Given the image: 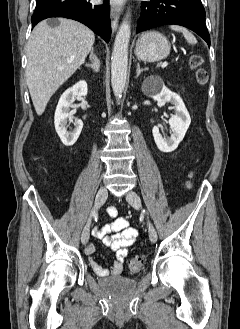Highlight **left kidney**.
Listing matches in <instances>:
<instances>
[{"instance_id": "5707ae66", "label": "left kidney", "mask_w": 240, "mask_h": 329, "mask_svg": "<svg viewBox=\"0 0 240 329\" xmlns=\"http://www.w3.org/2000/svg\"><path fill=\"white\" fill-rule=\"evenodd\" d=\"M151 84L153 87L149 88V85ZM142 90L158 103L163 104L169 102L174 105L175 114L172 115L169 120V125L172 130L171 136L169 138L163 137L158 126H154L152 129L154 141L158 149L166 153L174 151L183 140L191 123L190 115L181 97L170 91L164 85L163 80L157 75L148 77L142 85Z\"/></svg>"}]
</instances>
